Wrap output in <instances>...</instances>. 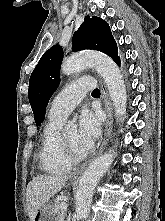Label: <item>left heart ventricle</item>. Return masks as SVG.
<instances>
[{
	"label": "left heart ventricle",
	"instance_id": "left-heart-ventricle-1",
	"mask_svg": "<svg viewBox=\"0 0 165 221\" xmlns=\"http://www.w3.org/2000/svg\"><path fill=\"white\" fill-rule=\"evenodd\" d=\"M66 139L71 144V146L77 151L78 153H84L87 150L80 144L78 140V133L76 129L67 131L64 133Z\"/></svg>",
	"mask_w": 165,
	"mask_h": 221
}]
</instances>
